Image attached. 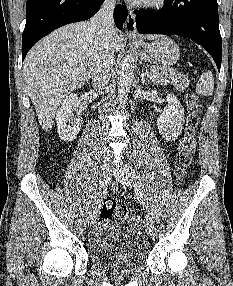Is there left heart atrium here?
<instances>
[{
    "label": "left heart atrium",
    "instance_id": "left-heart-atrium-1",
    "mask_svg": "<svg viewBox=\"0 0 233 286\" xmlns=\"http://www.w3.org/2000/svg\"><path fill=\"white\" fill-rule=\"evenodd\" d=\"M132 2L136 3V2H140L142 0H131Z\"/></svg>",
    "mask_w": 233,
    "mask_h": 286
}]
</instances>
